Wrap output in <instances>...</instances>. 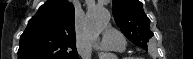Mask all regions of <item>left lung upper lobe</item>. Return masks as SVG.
I'll use <instances>...</instances> for the list:
<instances>
[{"label": "left lung upper lobe", "mask_w": 193, "mask_h": 59, "mask_svg": "<svg viewBox=\"0 0 193 59\" xmlns=\"http://www.w3.org/2000/svg\"><path fill=\"white\" fill-rule=\"evenodd\" d=\"M114 20L121 32L133 43L147 50V42L153 36L150 20L139 0H113Z\"/></svg>", "instance_id": "5c2ea615"}]
</instances>
